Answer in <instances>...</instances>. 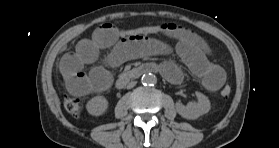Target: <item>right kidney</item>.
I'll return each mask as SVG.
<instances>
[{
    "instance_id": "ca27d5eb",
    "label": "right kidney",
    "mask_w": 279,
    "mask_h": 148,
    "mask_svg": "<svg viewBox=\"0 0 279 148\" xmlns=\"http://www.w3.org/2000/svg\"><path fill=\"white\" fill-rule=\"evenodd\" d=\"M87 111L94 116L104 114L108 108V101L104 96H95L86 105Z\"/></svg>"
}]
</instances>
